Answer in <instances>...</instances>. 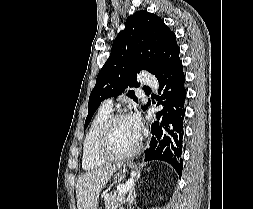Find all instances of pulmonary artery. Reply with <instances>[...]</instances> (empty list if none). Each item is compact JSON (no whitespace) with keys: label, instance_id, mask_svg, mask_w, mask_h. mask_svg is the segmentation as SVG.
Segmentation results:
<instances>
[{"label":"pulmonary artery","instance_id":"obj_1","mask_svg":"<svg viewBox=\"0 0 253 209\" xmlns=\"http://www.w3.org/2000/svg\"><path fill=\"white\" fill-rule=\"evenodd\" d=\"M140 80H141L142 83L148 85L151 88H157L158 87V83H157L156 79L153 76H151L147 73H142ZM104 104L106 106L112 107V104H113L112 99L106 100L104 102Z\"/></svg>","mask_w":253,"mask_h":209}]
</instances>
